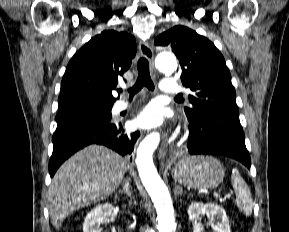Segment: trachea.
Wrapping results in <instances>:
<instances>
[{
	"label": "trachea",
	"mask_w": 289,
	"mask_h": 232,
	"mask_svg": "<svg viewBox=\"0 0 289 232\" xmlns=\"http://www.w3.org/2000/svg\"><path fill=\"white\" fill-rule=\"evenodd\" d=\"M137 68L138 77L136 83L132 88L128 90L131 98L143 87H147L151 91L154 90V84L151 80L148 60L146 58H140L137 63ZM119 92H122V90L120 89ZM177 98H179V96H177Z\"/></svg>",
	"instance_id": "3493384b"
}]
</instances>
